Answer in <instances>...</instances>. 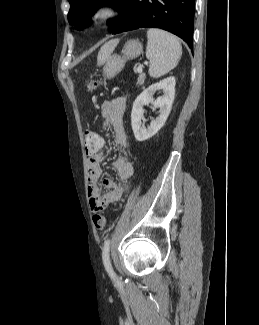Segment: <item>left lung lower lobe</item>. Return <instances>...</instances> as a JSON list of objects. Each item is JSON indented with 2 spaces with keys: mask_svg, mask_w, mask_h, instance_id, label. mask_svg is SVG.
<instances>
[{
  "mask_svg": "<svg viewBox=\"0 0 259 325\" xmlns=\"http://www.w3.org/2000/svg\"><path fill=\"white\" fill-rule=\"evenodd\" d=\"M195 0H128L113 34L138 28H161L192 48Z\"/></svg>",
  "mask_w": 259,
  "mask_h": 325,
  "instance_id": "1",
  "label": "left lung lower lobe"
}]
</instances>
